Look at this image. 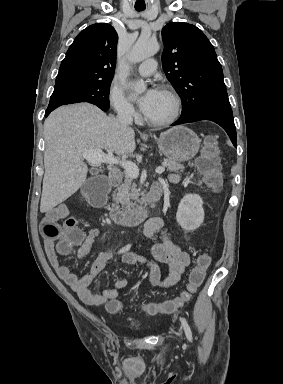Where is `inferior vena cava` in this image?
<instances>
[{"label": "inferior vena cava", "mask_w": 283, "mask_h": 384, "mask_svg": "<svg viewBox=\"0 0 283 384\" xmlns=\"http://www.w3.org/2000/svg\"><path fill=\"white\" fill-rule=\"evenodd\" d=\"M117 120L121 126H130L133 122V108L131 104H120L117 106Z\"/></svg>", "instance_id": "obj_1"}]
</instances>
